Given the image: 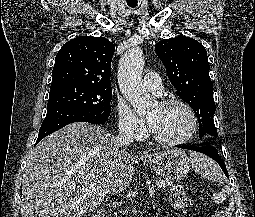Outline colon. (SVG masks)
Masks as SVG:
<instances>
[{
  "label": "colon",
  "instance_id": "obj_1",
  "mask_svg": "<svg viewBox=\"0 0 255 217\" xmlns=\"http://www.w3.org/2000/svg\"><path fill=\"white\" fill-rule=\"evenodd\" d=\"M171 203L176 208L188 207L190 200L187 193L180 186H174L170 195Z\"/></svg>",
  "mask_w": 255,
  "mask_h": 217
}]
</instances>
